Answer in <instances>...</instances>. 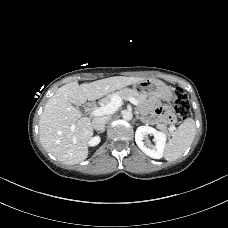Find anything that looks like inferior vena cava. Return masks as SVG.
Returning <instances> with one entry per match:
<instances>
[{
	"label": "inferior vena cava",
	"instance_id": "inferior-vena-cava-1",
	"mask_svg": "<svg viewBox=\"0 0 228 228\" xmlns=\"http://www.w3.org/2000/svg\"><path fill=\"white\" fill-rule=\"evenodd\" d=\"M109 116H104V117H99V118H94L92 121V126L95 130H103L105 127V124L107 123V121L109 120Z\"/></svg>",
	"mask_w": 228,
	"mask_h": 228
}]
</instances>
